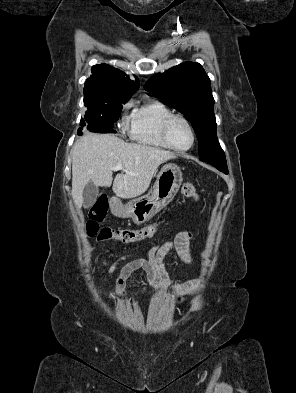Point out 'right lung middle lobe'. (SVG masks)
<instances>
[{"mask_svg":"<svg viewBox=\"0 0 296 393\" xmlns=\"http://www.w3.org/2000/svg\"><path fill=\"white\" fill-rule=\"evenodd\" d=\"M128 99H112L104 101H84L87 112L81 119L80 125L88 128L96 127L104 130H113V124L118 120L122 104Z\"/></svg>","mask_w":296,"mask_h":393,"instance_id":"1","label":"right lung middle lobe"}]
</instances>
